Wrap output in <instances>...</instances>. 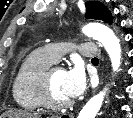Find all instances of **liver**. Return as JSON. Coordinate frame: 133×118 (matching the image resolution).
<instances>
[{
  "instance_id": "1",
  "label": "liver",
  "mask_w": 133,
  "mask_h": 118,
  "mask_svg": "<svg viewBox=\"0 0 133 118\" xmlns=\"http://www.w3.org/2000/svg\"><path fill=\"white\" fill-rule=\"evenodd\" d=\"M8 116L9 118H41L38 113H31L22 110H10L2 115V117Z\"/></svg>"
}]
</instances>
